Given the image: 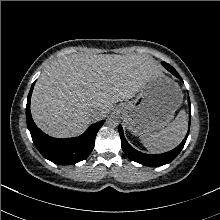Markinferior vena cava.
<instances>
[{
	"label": "inferior vena cava",
	"instance_id": "602c4592",
	"mask_svg": "<svg viewBox=\"0 0 220 220\" xmlns=\"http://www.w3.org/2000/svg\"><path fill=\"white\" fill-rule=\"evenodd\" d=\"M96 113H97L96 110H92V111H91V114H92V115H95Z\"/></svg>",
	"mask_w": 220,
	"mask_h": 220
}]
</instances>
